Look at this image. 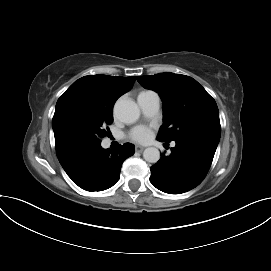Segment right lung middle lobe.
Wrapping results in <instances>:
<instances>
[{"label":"right lung middle lobe","instance_id":"dd1d6c3e","mask_svg":"<svg viewBox=\"0 0 271 271\" xmlns=\"http://www.w3.org/2000/svg\"><path fill=\"white\" fill-rule=\"evenodd\" d=\"M113 122V108L92 104L80 98L70 99L55 112L52 126L55 138L63 146L80 151L101 144L109 134L106 125Z\"/></svg>","mask_w":271,"mask_h":271}]
</instances>
